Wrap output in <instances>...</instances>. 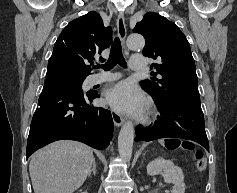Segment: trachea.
Wrapping results in <instances>:
<instances>
[{
	"label": "trachea",
	"instance_id": "1",
	"mask_svg": "<svg viewBox=\"0 0 237 193\" xmlns=\"http://www.w3.org/2000/svg\"><path fill=\"white\" fill-rule=\"evenodd\" d=\"M116 64L126 67V61L122 54V48L119 38H115L111 47L110 56L104 65L94 66V68H103L105 71L111 70Z\"/></svg>",
	"mask_w": 237,
	"mask_h": 193
}]
</instances>
